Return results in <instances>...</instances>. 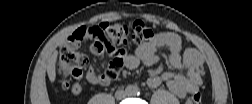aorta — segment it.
<instances>
[{"label": "aorta", "instance_id": "obj_1", "mask_svg": "<svg viewBox=\"0 0 252 104\" xmlns=\"http://www.w3.org/2000/svg\"><path fill=\"white\" fill-rule=\"evenodd\" d=\"M137 92H138L137 87H134V86H128V87H127V93H128L129 95H136Z\"/></svg>", "mask_w": 252, "mask_h": 104}]
</instances>
